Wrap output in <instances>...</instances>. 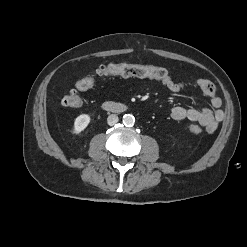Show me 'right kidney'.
I'll return each instance as SVG.
<instances>
[{
	"mask_svg": "<svg viewBox=\"0 0 247 247\" xmlns=\"http://www.w3.org/2000/svg\"><path fill=\"white\" fill-rule=\"evenodd\" d=\"M90 116L82 114L75 119L73 133L80 134L90 123Z\"/></svg>",
	"mask_w": 247,
	"mask_h": 247,
	"instance_id": "right-kidney-1",
	"label": "right kidney"
}]
</instances>
